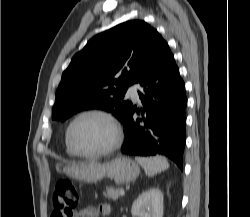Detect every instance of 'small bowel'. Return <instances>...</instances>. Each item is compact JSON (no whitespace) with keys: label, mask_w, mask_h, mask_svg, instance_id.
<instances>
[{"label":"small bowel","mask_w":250,"mask_h":217,"mask_svg":"<svg viewBox=\"0 0 250 217\" xmlns=\"http://www.w3.org/2000/svg\"><path fill=\"white\" fill-rule=\"evenodd\" d=\"M111 213L109 204L103 203L98 206H87L79 209L72 217H99L108 216Z\"/></svg>","instance_id":"small-bowel-1"}]
</instances>
